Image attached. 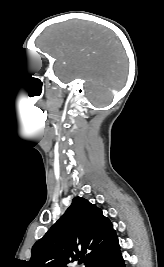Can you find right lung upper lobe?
<instances>
[{
    "mask_svg": "<svg viewBox=\"0 0 164 267\" xmlns=\"http://www.w3.org/2000/svg\"><path fill=\"white\" fill-rule=\"evenodd\" d=\"M119 248L110 220L102 210L75 197L64 215L32 247L29 267H66L87 253L86 267Z\"/></svg>",
    "mask_w": 164,
    "mask_h": 267,
    "instance_id": "obj_1",
    "label": "right lung upper lobe"
}]
</instances>
